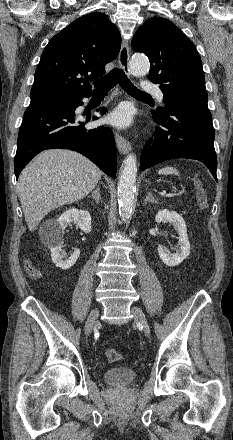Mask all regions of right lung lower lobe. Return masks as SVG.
Wrapping results in <instances>:
<instances>
[{"label":"right lung lower lobe","instance_id":"98d812e1","mask_svg":"<svg viewBox=\"0 0 233 440\" xmlns=\"http://www.w3.org/2000/svg\"><path fill=\"white\" fill-rule=\"evenodd\" d=\"M91 94L30 103L18 134L14 160L16 178L35 155L50 148L77 151L102 171L116 177L117 151L111 129L102 126L86 129V122L98 118L88 116L84 123L75 115L76 108L83 105L82 99ZM99 110L105 112L104 108Z\"/></svg>","mask_w":233,"mask_h":440}]
</instances>
